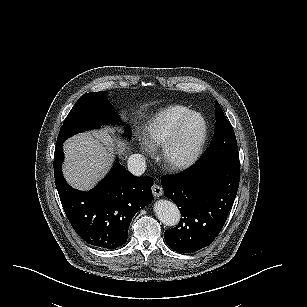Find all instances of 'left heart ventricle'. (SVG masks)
I'll return each mask as SVG.
<instances>
[{
    "label": "left heart ventricle",
    "instance_id": "b2bd125f",
    "mask_svg": "<svg viewBox=\"0 0 307 307\" xmlns=\"http://www.w3.org/2000/svg\"><path fill=\"white\" fill-rule=\"evenodd\" d=\"M192 122H197L198 119L194 115H190L186 122L178 127L175 130L174 135L175 139L171 142V146L168 148L170 150L171 155L174 154H184L185 150L187 149L189 143L196 142L198 143L197 138H195L194 133L190 132L189 125Z\"/></svg>",
    "mask_w": 307,
    "mask_h": 307
}]
</instances>
